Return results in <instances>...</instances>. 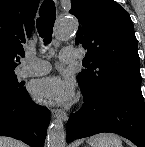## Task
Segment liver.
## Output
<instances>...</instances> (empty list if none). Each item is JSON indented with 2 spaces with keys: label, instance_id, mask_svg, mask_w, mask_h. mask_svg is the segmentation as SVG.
Returning a JSON list of instances; mask_svg holds the SVG:
<instances>
[{
  "label": "liver",
  "instance_id": "liver-1",
  "mask_svg": "<svg viewBox=\"0 0 145 147\" xmlns=\"http://www.w3.org/2000/svg\"><path fill=\"white\" fill-rule=\"evenodd\" d=\"M0 147H26L22 142L9 137H0Z\"/></svg>",
  "mask_w": 145,
  "mask_h": 147
}]
</instances>
